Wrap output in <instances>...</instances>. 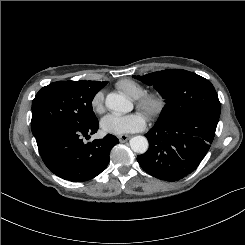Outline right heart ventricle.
I'll use <instances>...</instances> for the list:
<instances>
[{"label":"right heart ventricle","instance_id":"obj_1","mask_svg":"<svg viewBox=\"0 0 245 245\" xmlns=\"http://www.w3.org/2000/svg\"><path fill=\"white\" fill-rule=\"evenodd\" d=\"M116 88L132 99H136L145 93L144 87L131 79L119 80L116 83Z\"/></svg>","mask_w":245,"mask_h":245}]
</instances>
